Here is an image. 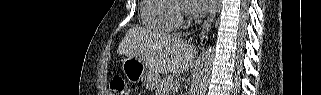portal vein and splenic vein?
I'll return each instance as SVG.
<instances>
[{"label": "portal vein and splenic vein", "mask_w": 321, "mask_h": 95, "mask_svg": "<svg viewBox=\"0 0 321 95\" xmlns=\"http://www.w3.org/2000/svg\"><path fill=\"white\" fill-rule=\"evenodd\" d=\"M176 89H178V84H176Z\"/></svg>", "instance_id": "obj_1"}]
</instances>
